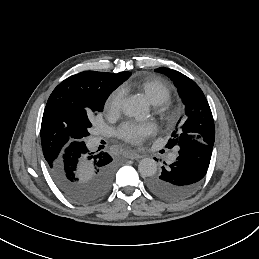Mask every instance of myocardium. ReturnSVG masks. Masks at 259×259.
I'll return each instance as SVG.
<instances>
[{"mask_svg":"<svg viewBox=\"0 0 259 259\" xmlns=\"http://www.w3.org/2000/svg\"><path fill=\"white\" fill-rule=\"evenodd\" d=\"M154 112L166 127L173 126L179 117L177 106L170 101L155 105Z\"/></svg>","mask_w":259,"mask_h":259,"instance_id":"1","label":"myocardium"}]
</instances>
